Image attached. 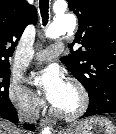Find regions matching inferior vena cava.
Returning a JSON list of instances; mask_svg holds the SVG:
<instances>
[{
  "label": "inferior vena cava",
  "mask_w": 116,
  "mask_h": 134,
  "mask_svg": "<svg viewBox=\"0 0 116 134\" xmlns=\"http://www.w3.org/2000/svg\"><path fill=\"white\" fill-rule=\"evenodd\" d=\"M19 121L22 123H34L39 118V109L35 100L22 106L18 111Z\"/></svg>",
  "instance_id": "602c4592"
}]
</instances>
